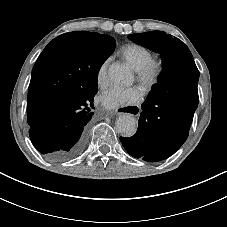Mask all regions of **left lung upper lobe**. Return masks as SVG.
<instances>
[{
    "label": "left lung upper lobe",
    "instance_id": "5c2ea615",
    "mask_svg": "<svg viewBox=\"0 0 227 227\" xmlns=\"http://www.w3.org/2000/svg\"><path fill=\"white\" fill-rule=\"evenodd\" d=\"M128 37L133 42L161 54L163 71L159 77L158 84H160L166 76L171 74L173 70L179 68L182 61L194 63L193 56L188 47L178 38H173L170 34L167 35L165 32L152 31L136 33ZM156 85L153 87L148 97L155 92Z\"/></svg>",
    "mask_w": 227,
    "mask_h": 227
}]
</instances>
